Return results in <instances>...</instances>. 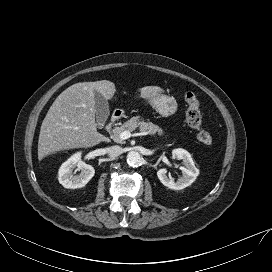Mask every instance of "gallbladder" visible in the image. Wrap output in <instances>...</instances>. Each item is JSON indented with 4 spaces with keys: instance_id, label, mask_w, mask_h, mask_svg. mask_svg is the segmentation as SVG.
<instances>
[{
    "instance_id": "gallbladder-1",
    "label": "gallbladder",
    "mask_w": 272,
    "mask_h": 272,
    "mask_svg": "<svg viewBox=\"0 0 272 272\" xmlns=\"http://www.w3.org/2000/svg\"><path fill=\"white\" fill-rule=\"evenodd\" d=\"M97 127L102 128L109 116V103L108 101L98 92L94 91Z\"/></svg>"
}]
</instances>
